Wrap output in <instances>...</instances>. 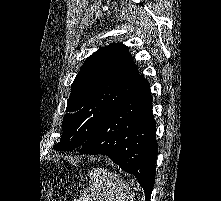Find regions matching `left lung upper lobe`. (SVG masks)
<instances>
[{
    "label": "left lung upper lobe",
    "mask_w": 221,
    "mask_h": 201,
    "mask_svg": "<svg viewBox=\"0 0 221 201\" xmlns=\"http://www.w3.org/2000/svg\"><path fill=\"white\" fill-rule=\"evenodd\" d=\"M146 82L123 44L94 52L72 83L66 108L69 113L63 118V135L54 149L81 147L108 112Z\"/></svg>",
    "instance_id": "obj_1"
}]
</instances>
